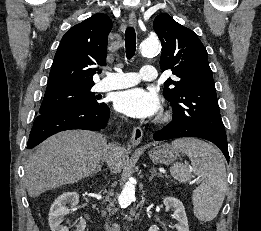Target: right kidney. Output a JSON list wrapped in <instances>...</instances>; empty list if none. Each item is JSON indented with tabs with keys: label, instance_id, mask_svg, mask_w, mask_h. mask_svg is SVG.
<instances>
[{
	"label": "right kidney",
	"instance_id": "obj_1",
	"mask_svg": "<svg viewBox=\"0 0 261 231\" xmlns=\"http://www.w3.org/2000/svg\"><path fill=\"white\" fill-rule=\"evenodd\" d=\"M79 203V195L77 192H66L60 195L51 205L49 212V226L51 231H69L67 227L61 225L64 216L70 211L77 210L76 206ZM70 204L71 208L66 205ZM75 231H84L86 222L83 218L78 220Z\"/></svg>",
	"mask_w": 261,
	"mask_h": 231
}]
</instances>
